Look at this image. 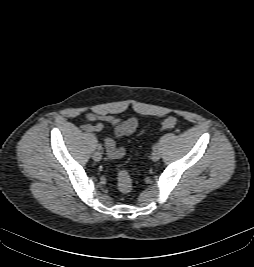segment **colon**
I'll use <instances>...</instances> for the list:
<instances>
[{
  "instance_id": "1",
  "label": "colon",
  "mask_w": 254,
  "mask_h": 267,
  "mask_svg": "<svg viewBox=\"0 0 254 267\" xmlns=\"http://www.w3.org/2000/svg\"><path fill=\"white\" fill-rule=\"evenodd\" d=\"M176 122L177 120L175 117H167L161 122V129H170L175 126ZM117 185L121 193L127 194L131 192L133 187L132 179L126 170L122 169L118 172Z\"/></svg>"
}]
</instances>
